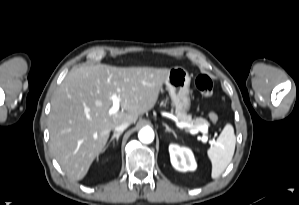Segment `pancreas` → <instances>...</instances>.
I'll use <instances>...</instances> for the list:
<instances>
[{
	"label": "pancreas",
	"instance_id": "1",
	"mask_svg": "<svg viewBox=\"0 0 299 205\" xmlns=\"http://www.w3.org/2000/svg\"><path fill=\"white\" fill-rule=\"evenodd\" d=\"M176 116L180 122H185V123L191 124L194 126V128L199 127V126H203V127L207 128L209 126L208 121L201 117L192 119L191 116H189L183 112H178V111L176 112ZM188 129H193V128H188Z\"/></svg>",
	"mask_w": 299,
	"mask_h": 205
}]
</instances>
